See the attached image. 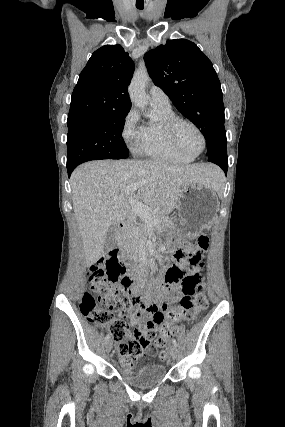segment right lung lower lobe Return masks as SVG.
<instances>
[{
	"instance_id": "obj_1",
	"label": "right lung lower lobe",
	"mask_w": 285,
	"mask_h": 427,
	"mask_svg": "<svg viewBox=\"0 0 285 427\" xmlns=\"http://www.w3.org/2000/svg\"><path fill=\"white\" fill-rule=\"evenodd\" d=\"M67 170H68V175L70 176L74 169L73 168H67Z\"/></svg>"
}]
</instances>
